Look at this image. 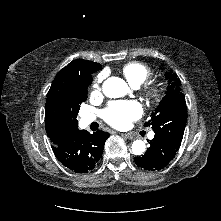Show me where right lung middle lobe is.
<instances>
[{
  "label": "right lung middle lobe",
  "instance_id": "obj_1",
  "mask_svg": "<svg viewBox=\"0 0 221 221\" xmlns=\"http://www.w3.org/2000/svg\"><path fill=\"white\" fill-rule=\"evenodd\" d=\"M87 89L77 90L62 99L53 101L45 108V125L63 131L77 129L76 118L80 104L87 99Z\"/></svg>",
  "mask_w": 221,
  "mask_h": 221
}]
</instances>
